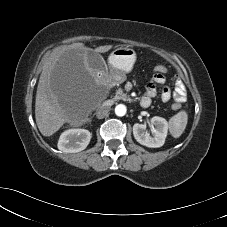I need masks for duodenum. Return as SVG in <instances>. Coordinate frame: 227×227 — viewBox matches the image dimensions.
I'll return each instance as SVG.
<instances>
[{
  "label": "duodenum",
  "mask_w": 227,
  "mask_h": 227,
  "mask_svg": "<svg viewBox=\"0 0 227 227\" xmlns=\"http://www.w3.org/2000/svg\"><path fill=\"white\" fill-rule=\"evenodd\" d=\"M140 105L142 106V107H145L146 105L145 104H142V102L140 101Z\"/></svg>",
  "instance_id": "duodenum-1"
}]
</instances>
